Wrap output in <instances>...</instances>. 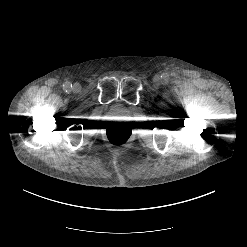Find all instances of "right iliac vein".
<instances>
[{
  "label": "right iliac vein",
  "mask_w": 247,
  "mask_h": 247,
  "mask_svg": "<svg viewBox=\"0 0 247 247\" xmlns=\"http://www.w3.org/2000/svg\"><path fill=\"white\" fill-rule=\"evenodd\" d=\"M73 89H74L75 91H78V90L80 89V85L77 84V83H75V84L73 85Z\"/></svg>",
  "instance_id": "1"
}]
</instances>
